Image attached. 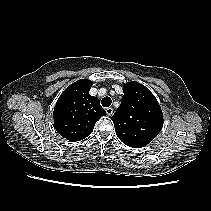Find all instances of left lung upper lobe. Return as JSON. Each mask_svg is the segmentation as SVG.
<instances>
[{
	"label": "left lung upper lobe",
	"instance_id": "5c2ea615",
	"mask_svg": "<svg viewBox=\"0 0 211 211\" xmlns=\"http://www.w3.org/2000/svg\"><path fill=\"white\" fill-rule=\"evenodd\" d=\"M124 95L112 120L118 138L127 146L149 144L163 127L161 107L148 88L138 82L123 85Z\"/></svg>",
	"mask_w": 211,
	"mask_h": 211
}]
</instances>
